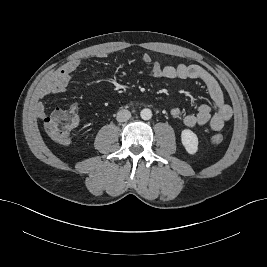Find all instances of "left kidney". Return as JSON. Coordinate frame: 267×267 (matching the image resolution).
I'll list each match as a JSON object with an SVG mask.
<instances>
[{"instance_id":"1","label":"left kidney","mask_w":267,"mask_h":267,"mask_svg":"<svg viewBox=\"0 0 267 267\" xmlns=\"http://www.w3.org/2000/svg\"><path fill=\"white\" fill-rule=\"evenodd\" d=\"M181 141L189 154L193 155L198 151V137L193 131L184 129L181 133Z\"/></svg>"}]
</instances>
